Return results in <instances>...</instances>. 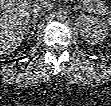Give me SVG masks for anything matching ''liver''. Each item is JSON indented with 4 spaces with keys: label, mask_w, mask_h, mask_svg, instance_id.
Returning a JSON list of instances; mask_svg holds the SVG:
<instances>
[{
    "label": "liver",
    "mask_w": 111,
    "mask_h": 106,
    "mask_svg": "<svg viewBox=\"0 0 111 106\" xmlns=\"http://www.w3.org/2000/svg\"><path fill=\"white\" fill-rule=\"evenodd\" d=\"M31 0L0 1V54H11L21 43L29 21Z\"/></svg>",
    "instance_id": "1"
}]
</instances>
